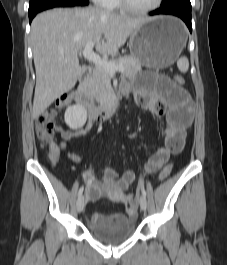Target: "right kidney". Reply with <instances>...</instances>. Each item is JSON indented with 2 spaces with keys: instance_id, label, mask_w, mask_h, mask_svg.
<instances>
[{
  "instance_id": "obj_1",
  "label": "right kidney",
  "mask_w": 227,
  "mask_h": 265,
  "mask_svg": "<svg viewBox=\"0 0 227 265\" xmlns=\"http://www.w3.org/2000/svg\"><path fill=\"white\" fill-rule=\"evenodd\" d=\"M64 118L70 129L78 130L86 123L87 111L80 104L72 105L66 109Z\"/></svg>"
}]
</instances>
